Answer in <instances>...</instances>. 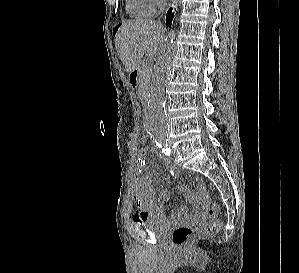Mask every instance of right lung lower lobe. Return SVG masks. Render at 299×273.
<instances>
[{
  "label": "right lung lower lobe",
  "instance_id": "98d812e1",
  "mask_svg": "<svg viewBox=\"0 0 299 273\" xmlns=\"http://www.w3.org/2000/svg\"><path fill=\"white\" fill-rule=\"evenodd\" d=\"M171 11L172 10L170 9V11H168L167 16H166V23L168 24V26H171L172 19L174 17V14Z\"/></svg>",
  "mask_w": 299,
  "mask_h": 273
}]
</instances>
